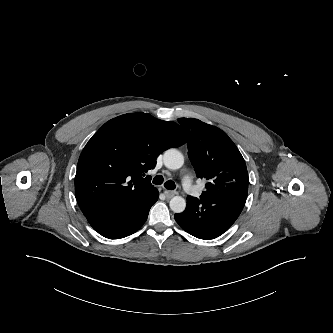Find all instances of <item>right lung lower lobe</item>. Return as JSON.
I'll return each instance as SVG.
<instances>
[{
	"mask_svg": "<svg viewBox=\"0 0 333 333\" xmlns=\"http://www.w3.org/2000/svg\"><path fill=\"white\" fill-rule=\"evenodd\" d=\"M158 191L142 204L122 210H102L85 214L90 225L102 236L120 239L136 232L146 221L151 206L158 200Z\"/></svg>",
	"mask_w": 333,
	"mask_h": 333,
	"instance_id": "right-lung-lower-lobe-1",
	"label": "right lung lower lobe"
}]
</instances>
